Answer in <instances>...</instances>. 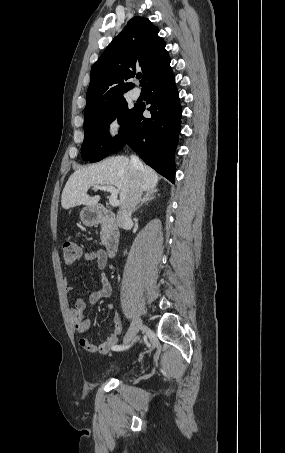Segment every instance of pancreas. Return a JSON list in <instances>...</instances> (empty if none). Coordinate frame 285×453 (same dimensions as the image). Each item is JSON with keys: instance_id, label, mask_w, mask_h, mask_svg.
<instances>
[{"instance_id": "1", "label": "pancreas", "mask_w": 285, "mask_h": 453, "mask_svg": "<svg viewBox=\"0 0 285 453\" xmlns=\"http://www.w3.org/2000/svg\"><path fill=\"white\" fill-rule=\"evenodd\" d=\"M108 231V226L106 224L102 225V231H101V240L104 241L106 239V233Z\"/></svg>"}]
</instances>
